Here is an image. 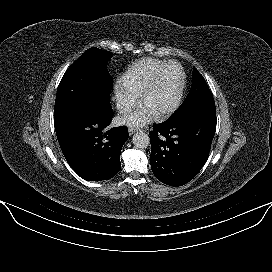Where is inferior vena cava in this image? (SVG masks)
Segmentation results:
<instances>
[{
  "mask_svg": "<svg viewBox=\"0 0 272 272\" xmlns=\"http://www.w3.org/2000/svg\"><path fill=\"white\" fill-rule=\"evenodd\" d=\"M116 107L121 112H128L132 109L133 103L129 100H119Z\"/></svg>",
  "mask_w": 272,
  "mask_h": 272,
  "instance_id": "obj_1",
  "label": "inferior vena cava"
}]
</instances>
